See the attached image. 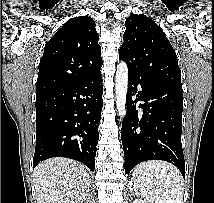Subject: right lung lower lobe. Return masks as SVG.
Listing matches in <instances>:
<instances>
[{
  "label": "right lung lower lobe",
  "instance_id": "obj_1",
  "mask_svg": "<svg viewBox=\"0 0 214 203\" xmlns=\"http://www.w3.org/2000/svg\"><path fill=\"white\" fill-rule=\"evenodd\" d=\"M102 76H90L36 96V148L33 168L52 157H67L95 167L101 119Z\"/></svg>",
  "mask_w": 214,
  "mask_h": 203
}]
</instances>
